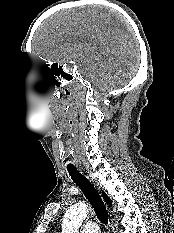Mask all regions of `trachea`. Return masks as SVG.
I'll use <instances>...</instances> for the list:
<instances>
[{
  "label": "trachea",
  "instance_id": "1",
  "mask_svg": "<svg viewBox=\"0 0 174 233\" xmlns=\"http://www.w3.org/2000/svg\"><path fill=\"white\" fill-rule=\"evenodd\" d=\"M68 173L74 183L82 190L85 197L93 207L97 218L103 224L109 222V215L101 196L90 181L77 171L76 167H67Z\"/></svg>",
  "mask_w": 174,
  "mask_h": 233
}]
</instances>
